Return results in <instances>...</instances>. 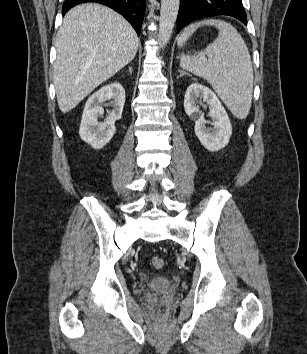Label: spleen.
<instances>
[{"mask_svg":"<svg viewBox=\"0 0 307 354\" xmlns=\"http://www.w3.org/2000/svg\"><path fill=\"white\" fill-rule=\"evenodd\" d=\"M213 25L219 30L213 43L199 54H181L180 66L208 81L224 104L238 119H245L251 108L253 68L248 48L237 30L221 20H205L186 27L178 39L183 47L195 30ZM206 55L210 57L207 59Z\"/></svg>","mask_w":307,"mask_h":354,"instance_id":"3e777b00","label":"spleen"}]
</instances>
